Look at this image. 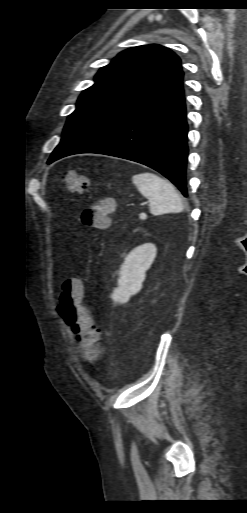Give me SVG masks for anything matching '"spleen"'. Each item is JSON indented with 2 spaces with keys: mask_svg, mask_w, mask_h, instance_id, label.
Masks as SVG:
<instances>
[{
  "mask_svg": "<svg viewBox=\"0 0 247 513\" xmlns=\"http://www.w3.org/2000/svg\"><path fill=\"white\" fill-rule=\"evenodd\" d=\"M132 183L148 199L149 209L154 216L178 213L184 204L174 186L167 180L151 172H142L132 177Z\"/></svg>",
  "mask_w": 247,
  "mask_h": 513,
  "instance_id": "1",
  "label": "spleen"
}]
</instances>
